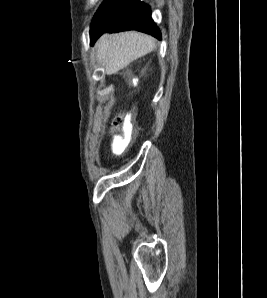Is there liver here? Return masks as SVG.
Returning a JSON list of instances; mask_svg holds the SVG:
<instances>
[{
    "instance_id": "1",
    "label": "liver",
    "mask_w": 267,
    "mask_h": 298,
    "mask_svg": "<svg viewBox=\"0 0 267 298\" xmlns=\"http://www.w3.org/2000/svg\"><path fill=\"white\" fill-rule=\"evenodd\" d=\"M95 48L98 63L104 66L107 75H111L150 53L155 48V41L144 33L128 31L115 35L103 34Z\"/></svg>"
}]
</instances>
